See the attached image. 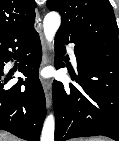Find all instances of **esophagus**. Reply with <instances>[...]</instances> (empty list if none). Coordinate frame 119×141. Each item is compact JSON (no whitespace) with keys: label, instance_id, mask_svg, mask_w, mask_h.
Here are the masks:
<instances>
[{"label":"esophagus","instance_id":"obj_1","mask_svg":"<svg viewBox=\"0 0 119 141\" xmlns=\"http://www.w3.org/2000/svg\"><path fill=\"white\" fill-rule=\"evenodd\" d=\"M40 40L42 44V49H43V56H42V61H41V67L43 68L49 63L50 59V54L49 50L47 47V44L45 42V38L42 32H40ZM42 85L46 97V104L47 107L50 108L51 106V82L49 80H42Z\"/></svg>","mask_w":119,"mask_h":141}]
</instances>
